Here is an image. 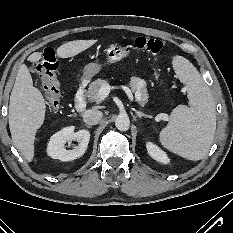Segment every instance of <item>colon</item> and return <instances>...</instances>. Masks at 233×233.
Segmentation results:
<instances>
[{
  "label": "colon",
  "mask_w": 233,
  "mask_h": 233,
  "mask_svg": "<svg viewBox=\"0 0 233 233\" xmlns=\"http://www.w3.org/2000/svg\"><path fill=\"white\" fill-rule=\"evenodd\" d=\"M137 49L157 55L163 48V43L159 39L137 37L134 41ZM35 67L42 78L45 90V99L51 109L59 106L61 98L60 82L57 76L58 62L52 48H45L42 57L35 62Z\"/></svg>",
  "instance_id": "5ec220e1"
}]
</instances>
